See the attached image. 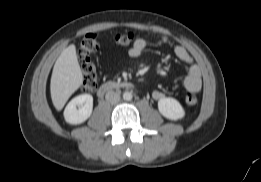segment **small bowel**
<instances>
[{
  "instance_id": "obj_1",
  "label": "small bowel",
  "mask_w": 261,
  "mask_h": 182,
  "mask_svg": "<svg viewBox=\"0 0 261 182\" xmlns=\"http://www.w3.org/2000/svg\"><path fill=\"white\" fill-rule=\"evenodd\" d=\"M155 43L163 44L168 42L166 36H160ZM150 45V41L144 38H138L129 49V55L132 58L139 57L142 52ZM174 55L184 64L188 66L187 74L184 79V88L188 92L198 93L202 88L201 70L198 65L193 62V58L187 50L181 45H175L173 48ZM153 98L160 100L165 97L162 91H154Z\"/></svg>"
}]
</instances>
